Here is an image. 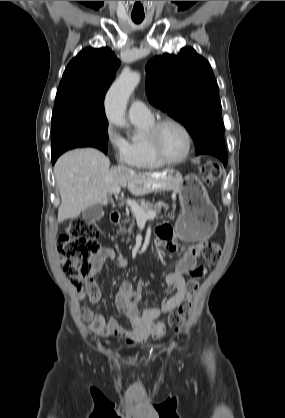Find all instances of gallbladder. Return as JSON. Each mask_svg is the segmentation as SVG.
Returning a JSON list of instances; mask_svg holds the SVG:
<instances>
[{"label":"gallbladder","instance_id":"gallbladder-1","mask_svg":"<svg viewBox=\"0 0 285 418\" xmlns=\"http://www.w3.org/2000/svg\"><path fill=\"white\" fill-rule=\"evenodd\" d=\"M103 216V209L98 204L92 205L83 211V218L89 222L100 220Z\"/></svg>","mask_w":285,"mask_h":418}]
</instances>
